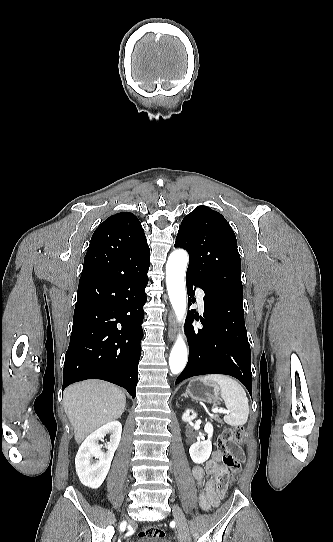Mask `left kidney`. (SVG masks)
<instances>
[{
    "instance_id": "1",
    "label": "left kidney",
    "mask_w": 333,
    "mask_h": 542,
    "mask_svg": "<svg viewBox=\"0 0 333 542\" xmlns=\"http://www.w3.org/2000/svg\"><path fill=\"white\" fill-rule=\"evenodd\" d=\"M190 412H192V410H185L182 416L183 422H192V420L197 418V414H195V412H192V416H190ZM204 432L208 434V440H205V442H196V444H192L189 450V454L195 464H203V462L209 460L212 452L211 438L214 430L211 422H207V424H205Z\"/></svg>"
}]
</instances>
